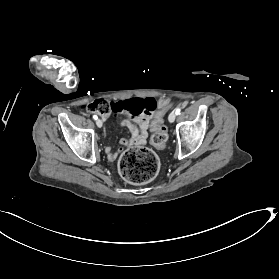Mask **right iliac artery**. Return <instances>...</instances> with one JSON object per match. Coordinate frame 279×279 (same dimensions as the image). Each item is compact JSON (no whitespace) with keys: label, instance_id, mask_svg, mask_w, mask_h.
Returning <instances> with one entry per match:
<instances>
[{"label":"right iliac artery","instance_id":"1","mask_svg":"<svg viewBox=\"0 0 279 279\" xmlns=\"http://www.w3.org/2000/svg\"><path fill=\"white\" fill-rule=\"evenodd\" d=\"M97 118H98V117H97L96 115H93V119H94V120H97Z\"/></svg>","mask_w":279,"mask_h":279}]
</instances>
